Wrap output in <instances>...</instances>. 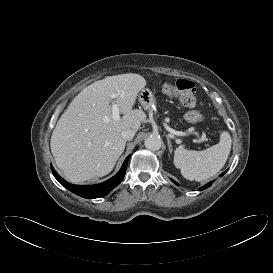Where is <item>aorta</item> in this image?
I'll return each instance as SVG.
<instances>
[{
  "mask_svg": "<svg viewBox=\"0 0 273 273\" xmlns=\"http://www.w3.org/2000/svg\"><path fill=\"white\" fill-rule=\"evenodd\" d=\"M145 147L150 151H157L162 146V141L158 136H150L145 140Z\"/></svg>",
  "mask_w": 273,
  "mask_h": 273,
  "instance_id": "1",
  "label": "aorta"
}]
</instances>
